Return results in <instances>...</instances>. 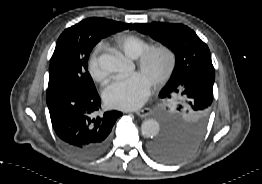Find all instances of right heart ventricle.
Instances as JSON below:
<instances>
[{"label": "right heart ventricle", "mask_w": 262, "mask_h": 184, "mask_svg": "<svg viewBox=\"0 0 262 184\" xmlns=\"http://www.w3.org/2000/svg\"><path fill=\"white\" fill-rule=\"evenodd\" d=\"M122 52L129 58L136 59L151 47L144 39L135 35H127L118 39Z\"/></svg>", "instance_id": "obj_1"}]
</instances>
